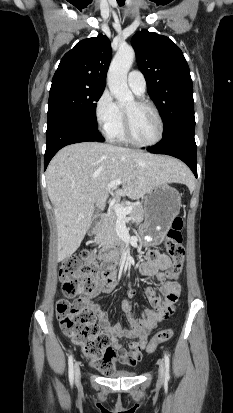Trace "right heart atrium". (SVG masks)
Returning <instances> with one entry per match:
<instances>
[{
	"label": "right heart atrium",
	"instance_id": "d8ad5b80",
	"mask_svg": "<svg viewBox=\"0 0 233 413\" xmlns=\"http://www.w3.org/2000/svg\"><path fill=\"white\" fill-rule=\"evenodd\" d=\"M94 117L98 128L107 137L118 127L121 112L108 90H104L96 100Z\"/></svg>",
	"mask_w": 233,
	"mask_h": 413
}]
</instances>
